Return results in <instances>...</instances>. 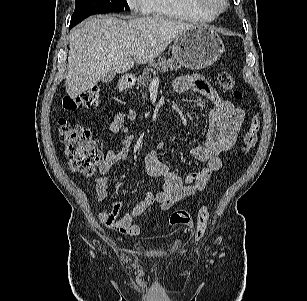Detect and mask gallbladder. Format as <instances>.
<instances>
[{
  "label": "gallbladder",
  "mask_w": 307,
  "mask_h": 301,
  "mask_svg": "<svg viewBox=\"0 0 307 301\" xmlns=\"http://www.w3.org/2000/svg\"><path fill=\"white\" fill-rule=\"evenodd\" d=\"M114 77H115V72L110 71L102 76L101 81L103 83L111 82L114 79Z\"/></svg>",
  "instance_id": "gallbladder-1"
}]
</instances>
